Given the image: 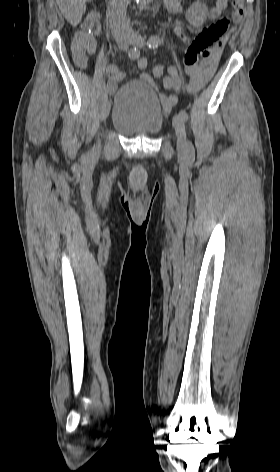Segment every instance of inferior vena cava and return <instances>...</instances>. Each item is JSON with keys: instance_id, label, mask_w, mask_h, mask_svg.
Listing matches in <instances>:
<instances>
[{"instance_id": "inferior-vena-cava-1", "label": "inferior vena cava", "mask_w": 280, "mask_h": 472, "mask_svg": "<svg viewBox=\"0 0 280 472\" xmlns=\"http://www.w3.org/2000/svg\"><path fill=\"white\" fill-rule=\"evenodd\" d=\"M130 0H111L109 7V22L113 34L128 29L126 9Z\"/></svg>"}]
</instances>
